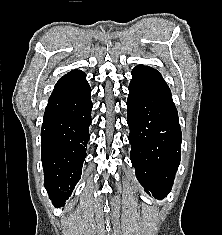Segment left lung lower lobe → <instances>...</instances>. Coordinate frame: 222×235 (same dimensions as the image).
<instances>
[{
  "instance_id": "1",
  "label": "left lung lower lobe",
  "mask_w": 222,
  "mask_h": 235,
  "mask_svg": "<svg viewBox=\"0 0 222 235\" xmlns=\"http://www.w3.org/2000/svg\"><path fill=\"white\" fill-rule=\"evenodd\" d=\"M131 74L127 100L130 158L145 191L162 199L170 192L180 163L178 113L157 70L138 65Z\"/></svg>"
}]
</instances>
